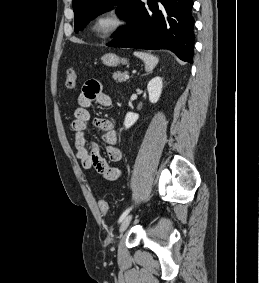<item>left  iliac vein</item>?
I'll return each mask as SVG.
<instances>
[{"instance_id":"4c4485c4","label":"left iliac vein","mask_w":259,"mask_h":283,"mask_svg":"<svg viewBox=\"0 0 259 283\" xmlns=\"http://www.w3.org/2000/svg\"><path fill=\"white\" fill-rule=\"evenodd\" d=\"M131 219H132V215H127V216L123 219V221H122V223H121V225H120V227H119L120 233H123V232L127 229V227L129 226V224H130V222H131Z\"/></svg>"}]
</instances>
